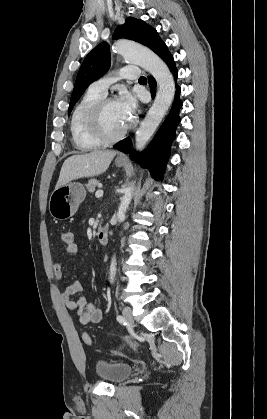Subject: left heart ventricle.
Instances as JSON below:
<instances>
[{
    "mask_svg": "<svg viewBox=\"0 0 267 419\" xmlns=\"http://www.w3.org/2000/svg\"><path fill=\"white\" fill-rule=\"evenodd\" d=\"M103 127L108 134L119 133L128 122L124 119L118 101L108 104L102 116Z\"/></svg>",
    "mask_w": 267,
    "mask_h": 419,
    "instance_id": "obj_1",
    "label": "left heart ventricle"
}]
</instances>
